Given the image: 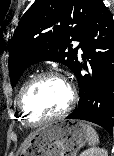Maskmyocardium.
Segmentation results:
<instances>
[{"label":"myocardium","mask_w":114,"mask_h":156,"mask_svg":"<svg viewBox=\"0 0 114 156\" xmlns=\"http://www.w3.org/2000/svg\"><path fill=\"white\" fill-rule=\"evenodd\" d=\"M44 78H57L60 79L67 87L68 89V102L66 104V106L64 107V109L59 112L58 114H55L53 116H49L46 118H42V119H38V120H31L28 117V114L26 113L24 107H23V98L24 95L26 94V92L30 89L31 86H33L36 82H38L41 79ZM76 100V93H75V89L74 87L65 79V77H63L61 74H59L58 72L55 71H44L41 73L36 74L35 76H33L31 79H29L21 88L19 94H18V98H17V105L18 108L21 112V115L23 117V121L26 125L30 126V127H35L38 126L40 124L46 123V122H50V121H54V120H58L63 118L64 116H66L70 110L72 109L74 103Z\"/></svg>","instance_id":"obj_1"}]
</instances>
